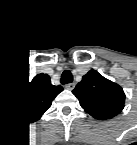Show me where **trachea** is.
<instances>
[{"label": "trachea", "mask_w": 137, "mask_h": 145, "mask_svg": "<svg viewBox=\"0 0 137 145\" xmlns=\"http://www.w3.org/2000/svg\"><path fill=\"white\" fill-rule=\"evenodd\" d=\"M72 74L69 71L63 72L61 76V83L62 84H67L72 82Z\"/></svg>", "instance_id": "1"}]
</instances>
